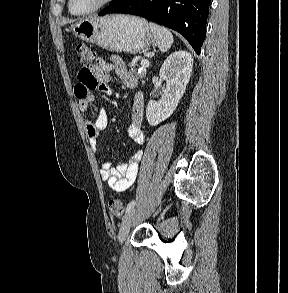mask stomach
Listing matches in <instances>:
<instances>
[{
	"label": "stomach",
	"mask_w": 288,
	"mask_h": 293,
	"mask_svg": "<svg viewBox=\"0 0 288 293\" xmlns=\"http://www.w3.org/2000/svg\"><path fill=\"white\" fill-rule=\"evenodd\" d=\"M71 30L76 37L114 52L134 54L155 41L144 19L121 14L86 18L71 25Z\"/></svg>",
	"instance_id": "1"
}]
</instances>
